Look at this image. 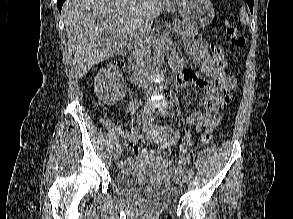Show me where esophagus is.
Instances as JSON below:
<instances>
[{"instance_id":"34e87169","label":"esophagus","mask_w":293,"mask_h":219,"mask_svg":"<svg viewBox=\"0 0 293 219\" xmlns=\"http://www.w3.org/2000/svg\"><path fill=\"white\" fill-rule=\"evenodd\" d=\"M159 3H163V4H165V3H167L168 2V0H157Z\"/></svg>"}]
</instances>
